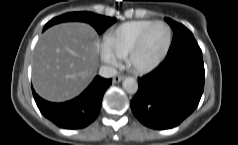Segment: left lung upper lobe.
Instances as JSON below:
<instances>
[{
    "mask_svg": "<svg viewBox=\"0 0 238 145\" xmlns=\"http://www.w3.org/2000/svg\"><path fill=\"white\" fill-rule=\"evenodd\" d=\"M165 20L171 24L173 20L169 19V18H165ZM196 40L194 38V36L192 35V33L188 30L187 32V36L186 38H183V39H174L173 38V41L171 43V46H170V49H169V52L171 51H174L176 50L177 48L185 45V44H188V43H195Z\"/></svg>",
    "mask_w": 238,
    "mask_h": 145,
    "instance_id": "1",
    "label": "left lung upper lobe"
}]
</instances>
